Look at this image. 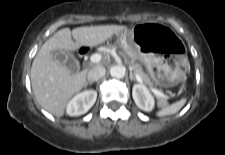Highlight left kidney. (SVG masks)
<instances>
[{"label": "left kidney", "instance_id": "1", "mask_svg": "<svg viewBox=\"0 0 225 155\" xmlns=\"http://www.w3.org/2000/svg\"><path fill=\"white\" fill-rule=\"evenodd\" d=\"M132 96L136 105L143 111L150 112L154 108V97L143 84H135L132 89Z\"/></svg>", "mask_w": 225, "mask_h": 155}]
</instances>
